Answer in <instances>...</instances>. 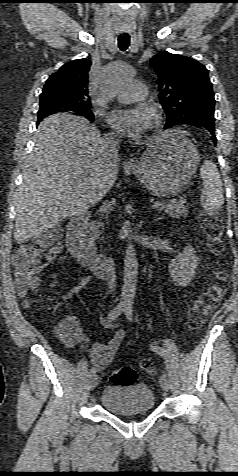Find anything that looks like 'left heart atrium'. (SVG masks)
I'll return each mask as SVG.
<instances>
[{
	"label": "left heart atrium",
	"mask_w": 238,
	"mask_h": 476,
	"mask_svg": "<svg viewBox=\"0 0 238 476\" xmlns=\"http://www.w3.org/2000/svg\"><path fill=\"white\" fill-rule=\"evenodd\" d=\"M118 131L133 137H141L153 124V111L145 105L113 111L108 118Z\"/></svg>",
	"instance_id": "obj_1"
}]
</instances>
